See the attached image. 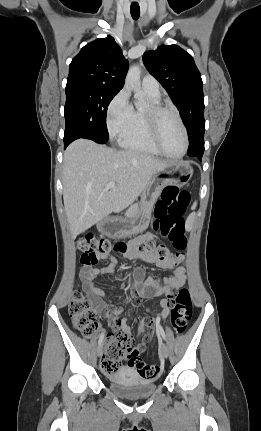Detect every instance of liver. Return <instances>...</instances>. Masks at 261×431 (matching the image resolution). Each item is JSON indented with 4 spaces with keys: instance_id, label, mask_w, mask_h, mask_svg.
Wrapping results in <instances>:
<instances>
[{
    "instance_id": "liver-1",
    "label": "liver",
    "mask_w": 261,
    "mask_h": 431,
    "mask_svg": "<svg viewBox=\"0 0 261 431\" xmlns=\"http://www.w3.org/2000/svg\"><path fill=\"white\" fill-rule=\"evenodd\" d=\"M136 151H117L90 140L71 143L63 161V200L75 238L110 213H118L144 191L156 171L168 165ZM115 187L107 189L108 183Z\"/></svg>"
}]
</instances>
